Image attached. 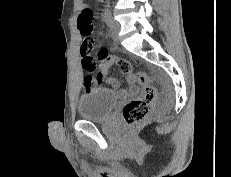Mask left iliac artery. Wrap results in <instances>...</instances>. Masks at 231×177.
Returning <instances> with one entry per match:
<instances>
[{"mask_svg": "<svg viewBox=\"0 0 231 177\" xmlns=\"http://www.w3.org/2000/svg\"><path fill=\"white\" fill-rule=\"evenodd\" d=\"M103 17H104V21L106 22V24L109 25V23L111 21V11L108 7L105 8L104 13H103Z\"/></svg>", "mask_w": 231, "mask_h": 177, "instance_id": "44dca946", "label": "left iliac artery"}]
</instances>
